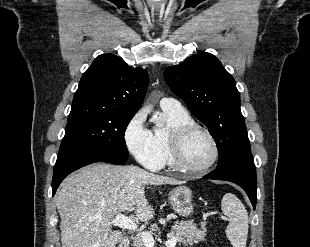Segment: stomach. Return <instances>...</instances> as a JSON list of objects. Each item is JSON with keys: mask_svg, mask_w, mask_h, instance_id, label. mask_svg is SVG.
I'll return each instance as SVG.
<instances>
[{"mask_svg": "<svg viewBox=\"0 0 310 247\" xmlns=\"http://www.w3.org/2000/svg\"><path fill=\"white\" fill-rule=\"evenodd\" d=\"M173 210L180 216L187 217L193 213V192L186 186L173 189L168 195Z\"/></svg>", "mask_w": 310, "mask_h": 247, "instance_id": "stomach-1", "label": "stomach"}]
</instances>
